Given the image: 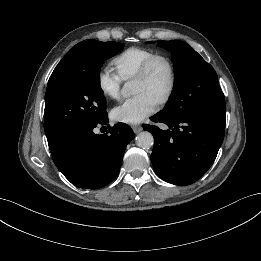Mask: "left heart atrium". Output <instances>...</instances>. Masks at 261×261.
<instances>
[{"label":"left heart atrium","instance_id":"obj_1","mask_svg":"<svg viewBox=\"0 0 261 261\" xmlns=\"http://www.w3.org/2000/svg\"><path fill=\"white\" fill-rule=\"evenodd\" d=\"M157 107V101L146 93H139L124 100L111 110V118L120 123L139 124L151 115Z\"/></svg>","mask_w":261,"mask_h":261}]
</instances>
